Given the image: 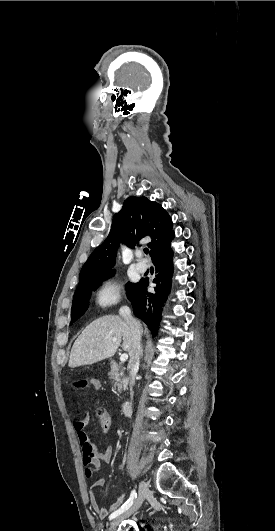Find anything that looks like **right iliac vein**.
Here are the masks:
<instances>
[{"label":"right iliac vein","instance_id":"63e3f726","mask_svg":"<svg viewBox=\"0 0 275 531\" xmlns=\"http://www.w3.org/2000/svg\"><path fill=\"white\" fill-rule=\"evenodd\" d=\"M148 493L149 491H148L147 483L144 481H141L139 485V495L137 499L134 501V503L131 505L129 509H127L124 513H122L121 515H119L112 521L108 531H115L117 526L123 519L134 514L139 509L144 499L148 496Z\"/></svg>","mask_w":275,"mask_h":531}]
</instances>
